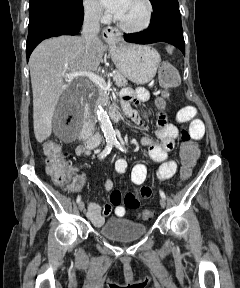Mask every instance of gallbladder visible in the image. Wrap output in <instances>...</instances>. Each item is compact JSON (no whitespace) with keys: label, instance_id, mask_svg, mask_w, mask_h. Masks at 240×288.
Returning a JSON list of instances; mask_svg holds the SVG:
<instances>
[{"label":"gallbladder","instance_id":"gallbladder-1","mask_svg":"<svg viewBox=\"0 0 240 288\" xmlns=\"http://www.w3.org/2000/svg\"><path fill=\"white\" fill-rule=\"evenodd\" d=\"M81 111V105L76 100L71 87L60 96L53 115V123L59 119L64 120L68 115H77Z\"/></svg>","mask_w":240,"mask_h":288}]
</instances>
